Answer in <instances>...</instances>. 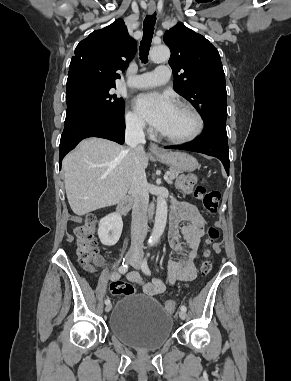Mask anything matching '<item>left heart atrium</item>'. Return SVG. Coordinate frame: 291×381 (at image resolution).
Segmentation results:
<instances>
[{
  "label": "left heart atrium",
  "instance_id": "left-heart-atrium-1",
  "mask_svg": "<svg viewBox=\"0 0 291 381\" xmlns=\"http://www.w3.org/2000/svg\"><path fill=\"white\" fill-rule=\"evenodd\" d=\"M172 100L158 93L139 95L136 98V109L155 128L162 130L175 109Z\"/></svg>",
  "mask_w": 291,
  "mask_h": 381
}]
</instances>
